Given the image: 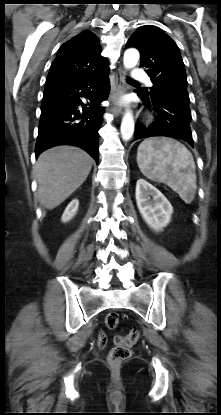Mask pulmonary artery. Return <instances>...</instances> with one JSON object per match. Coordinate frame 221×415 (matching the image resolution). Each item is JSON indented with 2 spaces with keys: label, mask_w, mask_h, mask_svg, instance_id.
Returning a JSON list of instances; mask_svg holds the SVG:
<instances>
[{
  "label": "pulmonary artery",
  "mask_w": 221,
  "mask_h": 415,
  "mask_svg": "<svg viewBox=\"0 0 221 415\" xmlns=\"http://www.w3.org/2000/svg\"><path fill=\"white\" fill-rule=\"evenodd\" d=\"M132 76L134 80L145 82L147 85L151 86L148 75L142 69H134Z\"/></svg>",
  "instance_id": "obj_1"
}]
</instances>
